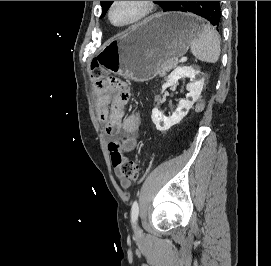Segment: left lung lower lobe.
Segmentation results:
<instances>
[{"mask_svg":"<svg viewBox=\"0 0 271 266\" xmlns=\"http://www.w3.org/2000/svg\"><path fill=\"white\" fill-rule=\"evenodd\" d=\"M163 11L192 12L207 19L217 29L221 23L220 1H170Z\"/></svg>","mask_w":271,"mask_h":266,"instance_id":"0a47b994","label":"left lung lower lobe"}]
</instances>
